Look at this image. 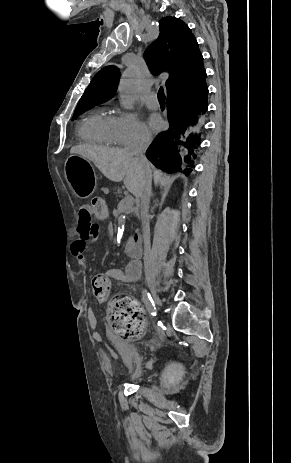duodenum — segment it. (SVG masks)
Segmentation results:
<instances>
[{
    "instance_id": "410a0bca",
    "label": "duodenum",
    "mask_w": 291,
    "mask_h": 463,
    "mask_svg": "<svg viewBox=\"0 0 291 463\" xmlns=\"http://www.w3.org/2000/svg\"><path fill=\"white\" fill-rule=\"evenodd\" d=\"M125 250L133 260H139L142 255V238L139 234H134L125 245Z\"/></svg>"
}]
</instances>
